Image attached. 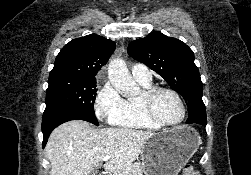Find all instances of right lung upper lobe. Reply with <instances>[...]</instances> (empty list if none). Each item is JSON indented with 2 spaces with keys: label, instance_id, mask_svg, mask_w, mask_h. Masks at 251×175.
<instances>
[{
  "label": "right lung upper lobe",
  "instance_id": "1",
  "mask_svg": "<svg viewBox=\"0 0 251 175\" xmlns=\"http://www.w3.org/2000/svg\"><path fill=\"white\" fill-rule=\"evenodd\" d=\"M115 43L91 34L71 40L56 57L49 78L96 84V74L106 64Z\"/></svg>",
  "mask_w": 251,
  "mask_h": 175
}]
</instances>
